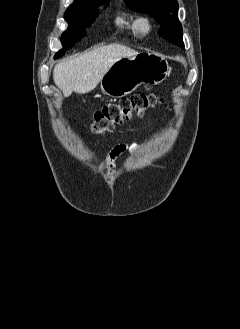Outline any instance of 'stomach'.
<instances>
[{"label": "stomach", "mask_w": 240, "mask_h": 329, "mask_svg": "<svg viewBox=\"0 0 240 329\" xmlns=\"http://www.w3.org/2000/svg\"><path fill=\"white\" fill-rule=\"evenodd\" d=\"M170 70L168 61L162 55L140 52L116 61L101 78V89L110 97H124L141 84L161 83L169 75Z\"/></svg>", "instance_id": "1"}]
</instances>
